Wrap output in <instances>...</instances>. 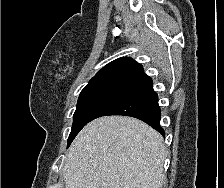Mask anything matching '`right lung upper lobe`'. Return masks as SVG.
Segmentation results:
<instances>
[{
	"label": "right lung upper lobe",
	"instance_id": "cb5924a9",
	"mask_svg": "<svg viewBox=\"0 0 224 188\" xmlns=\"http://www.w3.org/2000/svg\"><path fill=\"white\" fill-rule=\"evenodd\" d=\"M143 73V67L128 57L112 61L103 67L91 80L125 79L133 80Z\"/></svg>",
	"mask_w": 224,
	"mask_h": 188
}]
</instances>
